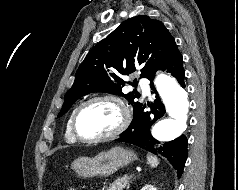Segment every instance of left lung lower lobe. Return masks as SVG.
I'll return each mask as SVG.
<instances>
[{
    "mask_svg": "<svg viewBox=\"0 0 238 190\" xmlns=\"http://www.w3.org/2000/svg\"><path fill=\"white\" fill-rule=\"evenodd\" d=\"M159 69L171 73L177 79L178 83L182 87H185L183 57L179 50L166 60ZM153 78L154 74L149 80ZM151 88L153 89L152 83ZM154 92L157 94L156 90ZM148 106L151 108L150 111H146V104L142 103L134 109L133 120L130 126L116 141L130 143L151 153L161 154L176 168L178 177H180L187 157V138L182 135L169 142H160L154 139L150 133V128L156 120L165 114V107L158 95H156L155 102Z\"/></svg>",
    "mask_w": 238,
    "mask_h": 190,
    "instance_id": "left-lung-lower-lobe-1",
    "label": "left lung lower lobe"
}]
</instances>
